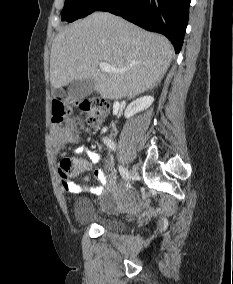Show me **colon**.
<instances>
[{
  "label": "colon",
  "mask_w": 233,
  "mask_h": 284,
  "mask_svg": "<svg viewBox=\"0 0 233 284\" xmlns=\"http://www.w3.org/2000/svg\"><path fill=\"white\" fill-rule=\"evenodd\" d=\"M79 109L85 114L86 122L92 127L98 126L106 117L108 112V104L100 98H84L76 102ZM71 108L62 100L55 99L52 102V120L61 124L68 120ZM68 140L75 143L78 140L76 132L68 135ZM59 172L62 180L67 181L70 177L77 173L76 166L72 159L63 158L59 164Z\"/></svg>",
  "instance_id": "obj_1"
}]
</instances>
